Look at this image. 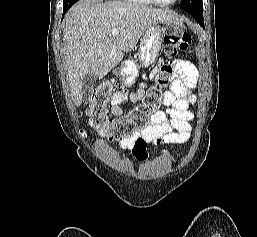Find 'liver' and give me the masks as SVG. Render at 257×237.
I'll return each instance as SVG.
<instances>
[{"instance_id":"6515ba94","label":"liver","mask_w":257,"mask_h":237,"mask_svg":"<svg viewBox=\"0 0 257 237\" xmlns=\"http://www.w3.org/2000/svg\"><path fill=\"white\" fill-rule=\"evenodd\" d=\"M168 10L123 2L83 0L70 8L64 23V55L71 96L83 100L82 80L92 73L101 79L134 49L146 29L155 23H178ZM120 32L113 37L111 31Z\"/></svg>"}]
</instances>
